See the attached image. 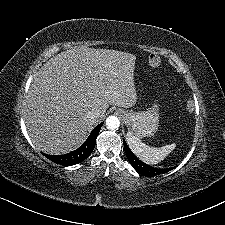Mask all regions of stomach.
<instances>
[{
    "instance_id": "0dacf381",
    "label": "stomach",
    "mask_w": 225,
    "mask_h": 225,
    "mask_svg": "<svg viewBox=\"0 0 225 225\" xmlns=\"http://www.w3.org/2000/svg\"><path fill=\"white\" fill-rule=\"evenodd\" d=\"M119 113L129 132L137 138L152 136L158 129L159 114L157 105L140 112L120 109Z\"/></svg>"
}]
</instances>
